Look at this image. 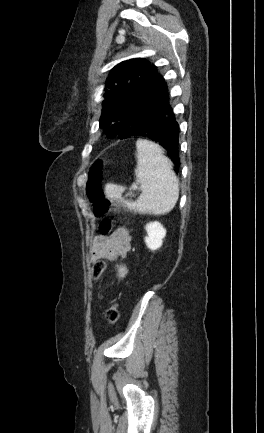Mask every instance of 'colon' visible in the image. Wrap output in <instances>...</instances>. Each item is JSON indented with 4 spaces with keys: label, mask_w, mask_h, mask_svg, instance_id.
Returning <instances> with one entry per match:
<instances>
[{
    "label": "colon",
    "mask_w": 264,
    "mask_h": 433,
    "mask_svg": "<svg viewBox=\"0 0 264 433\" xmlns=\"http://www.w3.org/2000/svg\"><path fill=\"white\" fill-rule=\"evenodd\" d=\"M103 168L104 161L102 159L96 160L89 173L87 183V195L93 204V212L97 216H105L111 212H118L111 201L107 200L103 193ZM115 225V220L111 217H105L100 224V232L102 235H108ZM107 263L105 260H97L92 264L91 277L98 279L106 270ZM115 272L119 279L124 280L128 275V269L124 264L116 263L114 265ZM119 318V305L112 303L105 311V320L108 324L113 325Z\"/></svg>",
    "instance_id": "colon-1"
}]
</instances>
